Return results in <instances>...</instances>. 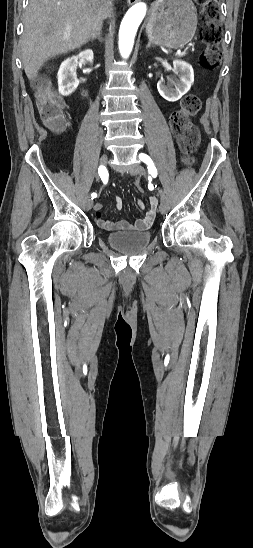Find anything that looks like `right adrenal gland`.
Returning <instances> with one entry per match:
<instances>
[{
    "label": "right adrenal gland",
    "instance_id": "obj_1",
    "mask_svg": "<svg viewBox=\"0 0 253 548\" xmlns=\"http://www.w3.org/2000/svg\"><path fill=\"white\" fill-rule=\"evenodd\" d=\"M95 39H98L100 42H102V38H101V30L98 32V34L93 37L92 39H90V41H93Z\"/></svg>",
    "mask_w": 253,
    "mask_h": 548
}]
</instances>
